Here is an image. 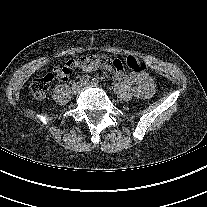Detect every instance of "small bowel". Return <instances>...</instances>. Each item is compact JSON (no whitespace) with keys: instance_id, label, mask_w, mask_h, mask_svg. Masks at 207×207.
I'll return each instance as SVG.
<instances>
[{"instance_id":"1","label":"small bowel","mask_w":207,"mask_h":207,"mask_svg":"<svg viewBox=\"0 0 207 207\" xmlns=\"http://www.w3.org/2000/svg\"><path fill=\"white\" fill-rule=\"evenodd\" d=\"M102 67L112 72L115 78L121 81L122 83L135 84L136 88L134 90V93L137 97L146 100L153 95L155 91V83L153 79L149 77L147 74L130 75V76L126 75L123 72V63L118 58L112 59L111 63L107 66H101L99 63H87L82 65L80 69L86 72H92ZM55 73L60 81L63 82L68 81L69 79L68 72L66 73L61 72L59 67H56Z\"/></svg>"}]
</instances>
